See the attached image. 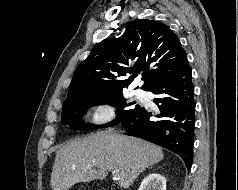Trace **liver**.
I'll return each mask as SVG.
<instances>
[{"label":"liver","mask_w":238,"mask_h":190,"mask_svg":"<svg viewBox=\"0 0 238 190\" xmlns=\"http://www.w3.org/2000/svg\"><path fill=\"white\" fill-rule=\"evenodd\" d=\"M163 157L160 147L140 138L98 132L58 149L51 186L53 190H68L76 183L103 180L111 171L119 178L120 187L126 189Z\"/></svg>","instance_id":"obj_1"}]
</instances>
